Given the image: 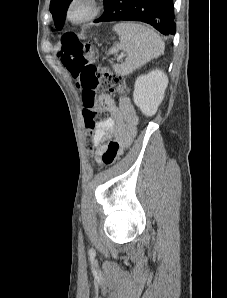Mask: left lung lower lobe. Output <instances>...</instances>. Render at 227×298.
<instances>
[{"mask_svg": "<svg viewBox=\"0 0 227 298\" xmlns=\"http://www.w3.org/2000/svg\"><path fill=\"white\" fill-rule=\"evenodd\" d=\"M118 20L146 22L164 35L176 31L173 0H109L98 22Z\"/></svg>", "mask_w": 227, "mask_h": 298, "instance_id": "left-lung-lower-lobe-1", "label": "left lung lower lobe"}]
</instances>
